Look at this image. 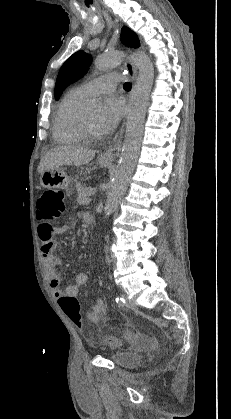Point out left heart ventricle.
<instances>
[{
	"label": "left heart ventricle",
	"instance_id": "b2bd125f",
	"mask_svg": "<svg viewBox=\"0 0 231 419\" xmlns=\"http://www.w3.org/2000/svg\"><path fill=\"white\" fill-rule=\"evenodd\" d=\"M86 113H87V119H88V123H89V126H90L91 130L96 134H101V131H100L99 126H98L99 112L89 110V111H86Z\"/></svg>",
	"mask_w": 231,
	"mask_h": 419
}]
</instances>
